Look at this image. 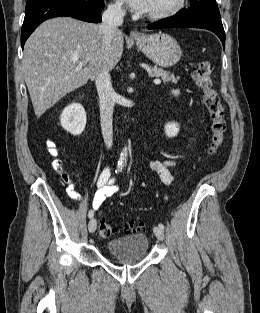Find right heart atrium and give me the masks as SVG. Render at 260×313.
I'll use <instances>...</instances> for the list:
<instances>
[{
  "mask_svg": "<svg viewBox=\"0 0 260 313\" xmlns=\"http://www.w3.org/2000/svg\"><path fill=\"white\" fill-rule=\"evenodd\" d=\"M109 10L114 14H121L123 12V7L121 3L114 2L109 5Z\"/></svg>",
  "mask_w": 260,
  "mask_h": 313,
  "instance_id": "right-heart-atrium-1",
  "label": "right heart atrium"
}]
</instances>
